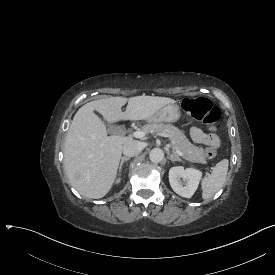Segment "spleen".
<instances>
[{
    "label": "spleen",
    "instance_id": "1",
    "mask_svg": "<svg viewBox=\"0 0 275 275\" xmlns=\"http://www.w3.org/2000/svg\"><path fill=\"white\" fill-rule=\"evenodd\" d=\"M229 161L223 159L213 168L212 173L202 180V198H212L225 183L228 172Z\"/></svg>",
    "mask_w": 275,
    "mask_h": 275
}]
</instances>
